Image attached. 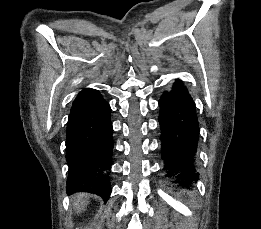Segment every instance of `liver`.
Returning <instances> with one entry per match:
<instances>
[{
	"instance_id": "6515ba94",
	"label": "liver",
	"mask_w": 261,
	"mask_h": 229,
	"mask_svg": "<svg viewBox=\"0 0 261 229\" xmlns=\"http://www.w3.org/2000/svg\"><path fill=\"white\" fill-rule=\"evenodd\" d=\"M89 199H90V195H86V193H76V195H73L72 203L77 213L85 209L86 205L90 203Z\"/></svg>"
}]
</instances>
